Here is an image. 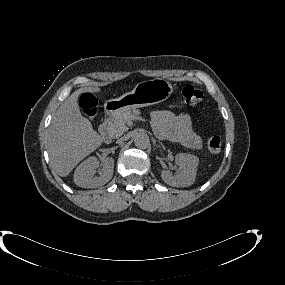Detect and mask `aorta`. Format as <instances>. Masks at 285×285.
I'll return each instance as SVG.
<instances>
[{
	"label": "aorta",
	"mask_w": 285,
	"mask_h": 285,
	"mask_svg": "<svg viewBox=\"0 0 285 285\" xmlns=\"http://www.w3.org/2000/svg\"><path fill=\"white\" fill-rule=\"evenodd\" d=\"M135 146L141 149H145L150 144L149 136L144 132H139L134 137Z\"/></svg>",
	"instance_id": "1"
}]
</instances>
